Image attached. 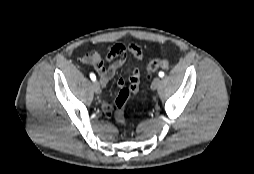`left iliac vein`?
<instances>
[{
  "label": "left iliac vein",
  "instance_id": "4c4485c4",
  "mask_svg": "<svg viewBox=\"0 0 254 174\" xmlns=\"http://www.w3.org/2000/svg\"><path fill=\"white\" fill-rule=\"evenodd\" d=\"M160 84H161L160 78H155V79L152 81L151 87H152L153 89H157V88L159 87Z\"/></svg>",
  "mask_w": 254,
  "mask_h": 174
}]
</instances>
